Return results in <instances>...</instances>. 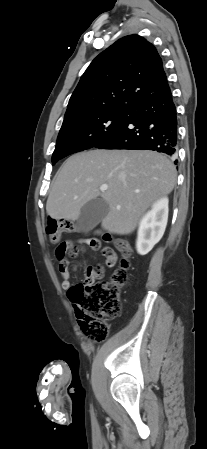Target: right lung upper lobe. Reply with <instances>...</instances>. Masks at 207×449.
Wrapping results in <instances>:
<instances>
[{
    "mask_svg": "<svg viewBox=\"0 0 207 449\" xmlns=\"http://www.w3.org/2000/svg\"><path fill=\"white\" fill-rule=\"evenodd\" d=\"M170 91L156 48L139 35L119 39L89 65L64 120L101 109H135Z\"/></svg>",
    "mask_w": 207,
    "mask_h": 449,
    "instance_id": "1",
    "label": "right lung upper lobe"
}]
</instances>
